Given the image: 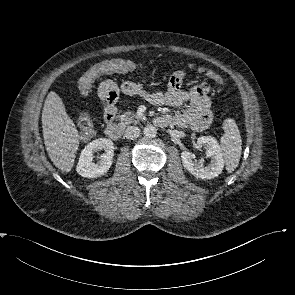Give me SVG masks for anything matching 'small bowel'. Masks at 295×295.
Instances as JSON below:
<instances>
[{
    "instance_id": "c3829d8e",
    "label": "small bowel",
    "mask_w": 295,
    "mask_h": 295,
    "mask_svg": "<svg viewBox=\"0 0 295 295\" xmlns=\"http://www.w3.org/2000/svg\"><path fill=\"white\" fill-rule=\"evenodd\" d=\"M124 61L129 63L133 69H136L138 66L137 63L130 60ZM208 92L209 87L206 84L192 87L189 90H182L181 87H176L171 82H169L166 92H148L142 83L132 81L117 85L112 80H105L99 86V94L104 103L103 108L105 119L109 123L114 120L116 103L120 93H122L129 96L142 97L152 104H165L173 108L187 105L180 113L166 116L175 125L181 128H189L194 131H202L210 123L211 101L208 97Z\"/></svg>"
}]
</instances>
